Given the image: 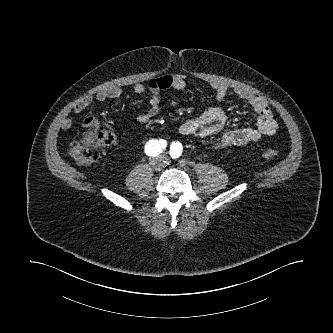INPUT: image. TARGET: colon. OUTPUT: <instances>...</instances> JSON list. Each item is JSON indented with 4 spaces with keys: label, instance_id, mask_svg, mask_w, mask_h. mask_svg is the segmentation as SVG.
<instances>
[{
    "label": "colon",
    "instance_id": "colon-1",
    "mask_svg": "<svg viewBox=\"0 0 333 333\" xmlns=\"http://www.w3.org/2000/svg\"><path fill=\"white\" fill-rule=\"evenodd\" d=\"M115 140V134L111 130L102 129L100 127L93 128L77 141H74L69 149L70 155L81 166H88L96 163L101 152L107 146L111 145ZM279 151L273 148L264 149L260 154V158L264 161L278 157Z\"/></svg>",
    "mask_w": 333,
    "mask_h": 333
}]
</instances>
